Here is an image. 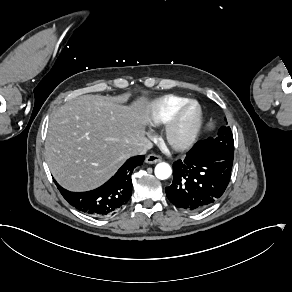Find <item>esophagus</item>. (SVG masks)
I'll return each instance as SVG.
<instances>
[{
    "label": "esophagus",
    "mask_w": 292,
    "mask_h": 292,
    "mask_svg": "<svg viewBox=\"0 0 292 292\" xmlns=\"http://www.w3.org/2000/svg\"><path fill=\"white\" fill-rule=\"evenodd\" d=\"M162 160L160 155L150 154L146 157L145 162L148 164L158 163Z\"/></svg>",
    "instance_id": "34e87169"
}]
</instances>
